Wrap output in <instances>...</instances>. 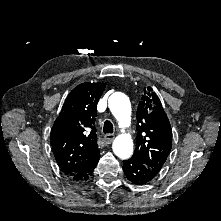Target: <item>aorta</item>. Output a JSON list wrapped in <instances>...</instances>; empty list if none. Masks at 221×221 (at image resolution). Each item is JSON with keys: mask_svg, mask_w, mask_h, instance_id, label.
<instances>
[{"mask_svg": "<svg viewBox=\"0 0 221 221\" xmlns=\"http://www.w3.org/2000/svg\"><path fill=\"white\" fill-rule=\"evenodd\" d=\"M109 109L117 119L119 126H126L131 119V104L129 98L116 92L109 98ZM113 152L121 159H128L133 153V141L130 135L120 134L113 142Z\"/></svg>", "mask_w": 221, "mask_h": 221, "instance_id": "762f6f07", "label": "aorta"}]
</instances>
